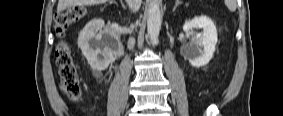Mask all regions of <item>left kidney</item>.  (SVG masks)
I'll use <instances>...</instances> for the list:
<instances>
[{
  "mask_svg": "<svg viewBox=\"0 0 283 116\" xmlns=\"http://www.w3.org/2000/svg\"><path fill=\"white\" fill-rule=\"evenodd\" d=\"M192 28H201L203 33L192 39L185 51V57L192 66L201 67L208 64L213 57L218 40L217 29L213 21L204 15L186 21L183 25L184 31Z\"/></svg>",
  "mask_w": 283,
  "mask_h": 116,
  "instance_id": "5707ae66",
  "label": "left kidney"
}]
</instances>
